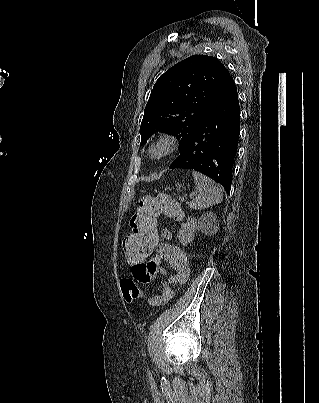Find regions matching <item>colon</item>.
Returning a JSON list of instances; mask_svg holds the SVG:
<instances>
[{"mask_svg": "<svg viewBox=\"0 0 319 403\" xmlns=\"http://www.w3.org/2000/svg\"><path fill=\"white\" fill-rule=\"evenodd\" d=\"M179 213L176 201L167 194L143 197L130 218V227L134 231H131V236L125 238L122 245L125 264H150L153 249L158 246L157 236L161 229V222L157 221V217L164 214L176 218ZM120 288L128 305H135L143 297L139 283H134L132 276H124Z\"/></svg>", "mask_w": 319, "mask_h": 403, "instance_id": "1", "label": "colon"}]
</instances>
